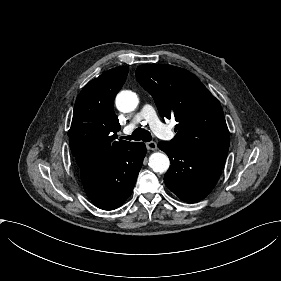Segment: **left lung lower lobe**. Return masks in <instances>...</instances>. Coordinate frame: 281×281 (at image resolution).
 <instances>
[{
  "label": "left lung lower lobe",
  "mask_w": 281,
  "mask_h": 281,
  "mask_svg": "<svg viewBox=\"0 0 281 281\" xmlns=\"http://www.w3.org/2000/svg\"><path fill=\"white\" fill-rule=\"evenodd\" d=\"M158 147L171 162L164 176L166 186L189 203L200 201L212 191L227 157V154L184 151L171 142H159Z\"/></svg>",
  "instance_id": "obj_1"
}]
</instances>
